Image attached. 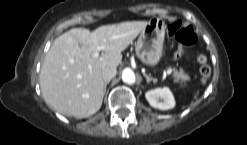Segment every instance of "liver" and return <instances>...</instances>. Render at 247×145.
I'll list each match as a JSON object with an SVG mask.
<instances>
[{"instance_id": "obj_1", "label": "liver", "mask_w": 247, "mask_h": 145, "mask_svg": "<svg viewBox=\"0 0 247 145\" xmlns=\"http://www.w3.org/2000/svg\"><path fill=\"white\" fill-rule=\"evenodd\" d=\"M148 21L104 25L90 32L73 28L57 37L45 56L40 71V88L45 102L67 116L85 118L100 109L104 96L102 70L117 67L125 50ZM98 46L104 53L92 54Z\"/></svg>"}]
</instances>
